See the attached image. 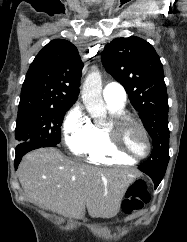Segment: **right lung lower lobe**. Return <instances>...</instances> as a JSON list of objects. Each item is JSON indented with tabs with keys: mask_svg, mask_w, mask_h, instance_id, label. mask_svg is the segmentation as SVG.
<instances>
[{
	"mask_svg": "<svg viewBox=\"0 0 187 242\" xmlns=\"http://www.w3.org/2000/svg\"><path fill=\"white\" fill-rule=\"evenodd\" d=\"M41 147H59L56 145H46V144H42V143H37V142H22L20 144L17 145L16 149H15V169H17L18 164L20 163L22 157L29 151L34 150V149H38Z\"/></svg>",
	"mask_w": 187,
	"mask_h": 242,
	"instance_id": "98d812e1",
	"label": "right lung lower lobe"
}]
</instances>
